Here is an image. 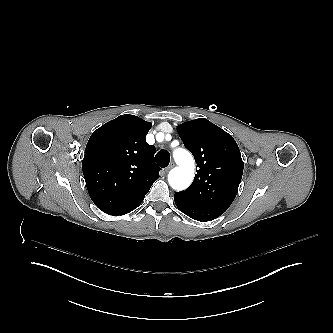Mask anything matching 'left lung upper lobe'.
<instances>
[{"label":"left lung upper lobe","mask_w":333,"mask_h":333,"mask_svg":"<svg viewBox=\"0 0 333 333\" xmlns=\"http://www.w3.org/2000/svg\"><path fill=\"white\" fill-rule=\"evenodd\" d=\"M178 132L198 170L190 187L175 195L198 206L226 211L236 197L244 168L236 141L204 118L181 124Z\"/></svg>","instance_id":"1"}]
</instances>
